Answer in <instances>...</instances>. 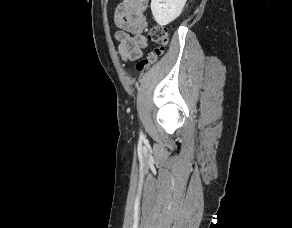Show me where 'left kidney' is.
<instances>
[{
	"instance_id": "1",
	"label": "left kidney",
	"mask_w": 292,
	"mask_h": 228,
	"mask_svg": "<svg viewBox=\"0 0 292 228\" xmlns=\"http://www.w3.org/2000/svg\"><path fill=\"white\" fill-rule=\"evenodd\" d=\"M187 0H151V11L155 21L167 25L180 16Z\"/></svg>"
}]
</instances>
